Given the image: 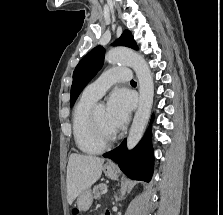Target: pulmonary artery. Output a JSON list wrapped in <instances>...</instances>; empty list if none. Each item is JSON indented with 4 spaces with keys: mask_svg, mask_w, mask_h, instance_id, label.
I'll return each mask as SVG.
<instances>
[{
    "mask_svg": "<svg viewBox=\"0 0 223 215\" xmlns=\"http://www.w3.org/2000/svg\"><path fill=\"white\" fill-rule=\"evenodd\" d=\"M132 77V69H126V65H117V69H106L93 83L89 84L83 94L95 100L99 99L113 84L128 82Z\"/></svg>",
    "mask_w": 223,
    "mask_h": 215,
    "instance_id": "1",
    "label": "pulmonary artery"
}]
</instances>
